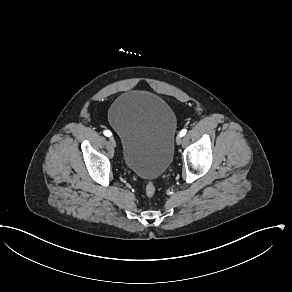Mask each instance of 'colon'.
<instances>
[{
    "label": "colon",
    "instance_id": "obj_1",
    "mask_svg": "<svg viewBox=\"0 0 292 292\" xmlns=\"http://www.w3.org/2000/svg\"><path fill=\"white\" fill-rule=\"evenodd\" d=\"M144 194L146 198L148 199H153L156 194V186L153 182L149 181L146 183L145 188H144Z\"/></svg>",
    "mask_w": 292,
    "mask_h": 292
}]
</instances>
